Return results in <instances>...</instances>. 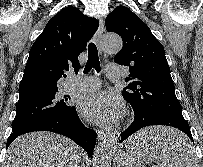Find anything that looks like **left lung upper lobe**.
I'll list each match as a JSON object with an SVG mask.
<instances>
[{
  "label": "left lung upper lobe",
  "instance_id": "5c2ea615",
  "mask_svg": "<svg viewBox=\"0 0 203 167\" xmlns=\"http://www.w3.org/2000/svg\"><path fill=\"white\" fill-rule=\"evenodd\" d=\"M108 32L122 37L123 47L114 57L120 65L129 66V82L122 92L136 116L151 118L181 113L175 86L162 44L150 28L130 9L116 7L105 20Z\"/></svg>",
  "mask_w": 203,
  "mask_h": 167
}]
</instances>
